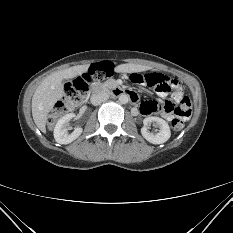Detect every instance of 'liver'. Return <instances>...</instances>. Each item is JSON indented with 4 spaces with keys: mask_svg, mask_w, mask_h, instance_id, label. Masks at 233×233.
Here are the masks:
<instances>
[{
    "mask_svg": "<svg viewBox=\"0 0 233 233\" xmlns=\"http://www.w3.org/2000/svg\"><path fill=\"white\" fill-rule=\"evenodd\" d=\"M89 65L73 66L47 76L37 87L32 97V116L36 126L45 132L48 113L64 94V79L75 78L88 70ZM150 68L137 64H121L115 67L118 73L143 72Z\"/></svg>",
    "mask_w": 233,
    "mask_h": 233,
    "instance_id": "6515ba94",
    "label": "liver"
}]
</instances>
